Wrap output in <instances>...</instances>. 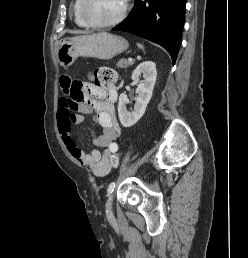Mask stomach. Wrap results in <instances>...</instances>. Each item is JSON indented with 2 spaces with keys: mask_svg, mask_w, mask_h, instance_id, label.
<instances>
[{
  "mask_svg": "<svg viewBox=\"0 0 248 258\" xmlns=\"http://www.w3.org/2000/svg\"><path fill=\"white\" fill-rule=\"evenodd\" d=\"M128 42L106 32L61 39L57 44V59L62 67L71 66L78 57L111 59L126 51Z\"/></svg>",
  "mask_w": 248,
  "mask_h": 258,
  "instance_id": "0dacf381",
  "label": "stomach"
}]
</instances>
